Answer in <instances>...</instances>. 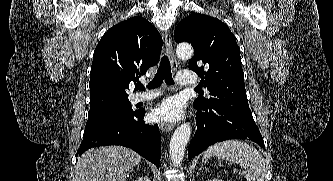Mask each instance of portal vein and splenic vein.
<instances>
[{"instance_id":"portal-vein-and-splenic-vein-1","label":"portal vein and splenic vein","mask_w":333,"mask_h":181,"mask_svg":"<svg viewBox=\"0 0 333 181\" xmlns=\"http://www.w3.org/2000/svg\"><path fill=\"white\" fill-rule=\"evenodd\" d=\"M234 173H235V174L237 173V170H236V169L234 170Z\"/></svg>"}]
</instances>
